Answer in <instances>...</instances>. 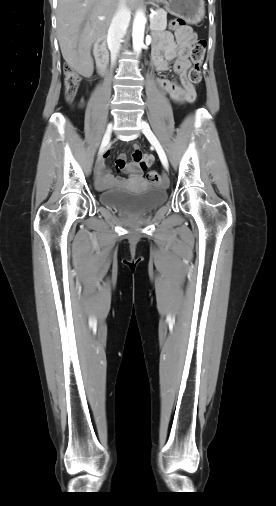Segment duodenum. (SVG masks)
Wrapping results in <instances>:
<instances>
[{"instance_id":"410a0bca","label":"duodenum","mask_w":276,"mask_h":506,"mask_svg":"<svg viewBox=\"0 0 276 506\" xmlns=\"http://www.w3.org/2000/svg\"><path fill=\"white\" fill-rule=\"evenodd\" d=\"M95 52L97 55L99 69L100 71H104L109 61L108 51L106 48V37H102L98 40Z\"/></svg>"}]
</instances>
